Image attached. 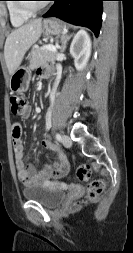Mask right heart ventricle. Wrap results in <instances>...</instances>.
Listing matches in <instances>:
<instances>
[{
  "instance_id": "obj_1",
  "label": "right heart ventricle",
  "mask_w": 133,
  "mask_h": 253,
  "mask_svg": "<svg viewBox=\"0 0 133 253\" xmlns=\"http://www.w3.org/2000/svg\"><path fill=\"white\" fill-rule=\"evenodd\" d=\"M7 11L11 24L14 27H19L25 24L32 15L22 12L16 0H10L7 3Z\"/></svg>"
}]
</instances>
